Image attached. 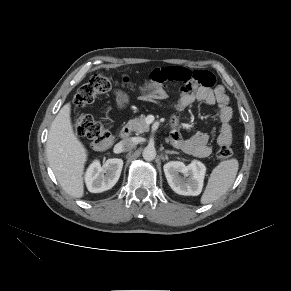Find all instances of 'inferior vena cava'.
I'll use <instances>...</instances> for the list:
<instances>
[{"label": "inferior vena cava", "mask_w": 291, "mask_h": 291, "mask_svg": "<svg viewBox=\"0 0 291 291\" xmlns=\"http://www.w3.org/2000/svg\"><path fill=\"white\" fill-rule=\"evenodd\" d=\"M119 146L122 151H130L136 146V142L133 138H126L119 142Z\"/></svg>", "instance_id": "inferior-vena-cava-1"}]
</instances>
